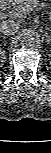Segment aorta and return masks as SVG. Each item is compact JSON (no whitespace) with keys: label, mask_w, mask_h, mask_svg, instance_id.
I'll return each instance as SVG.
<instances>
[{"label":"aorta","mask_w":51,"mask_h":153,"mask_svg":"<svg viewBox=\"0 0 51 153\" xmlns=\"http://www.w3.org/2000/svg\"><path fill=\"white\" fill-rule=\"evenodd\" d=\"M39 39L38 32L33 29H26L20 35V42L25 46H36Z\"/></svg>","instance_id":"obj_1"}]
</instances>
